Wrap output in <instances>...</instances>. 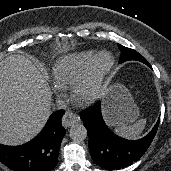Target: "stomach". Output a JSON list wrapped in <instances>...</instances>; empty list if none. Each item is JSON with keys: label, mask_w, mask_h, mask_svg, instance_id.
<instances>
[{"label": "stomach", "mask_w": 171, "mask_h": 171, "mask_svg": "<svg viewBox=\"0 0 171 171\" xmlns=\"http://www.w3.org/2000/svg\"><path fill=\"white\" fill-rule=\"evenodd\" d=\"M104 115L111 126H126L137 120L139 108L125 86L116 83L108 88L104 99Z\"/></svg>", "instance_id": "0dacf381"}]
</instances>
